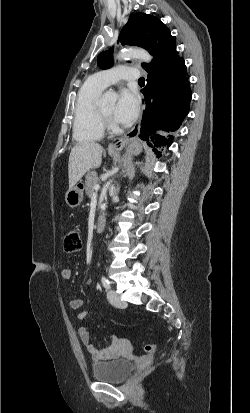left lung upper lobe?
<instances>
[{
	"mask_svg": "<svg viewBox=\"0 0 250 413\" xmlns=\"http://www.w3.org/2000/svg\"><path fill=\"white\" fill-rule=\"evenodd\" d=\"M119 41L122 45L143 47L152 55L154 50H157L163 44L172 43L176 45V37L171 36L169 29L160 19L145 13H134L130 16L120 33ZM112 53L113 48L99 54L97 63L101 69H108L113 66ZM150 65L143 63L142 67L147 70Z\"/></svg>",
	"mask_w": 250,
	"mask_h": 413,
	"instance_id": "1",
	"label": "left lung upper lobe"
}]
</instances>
